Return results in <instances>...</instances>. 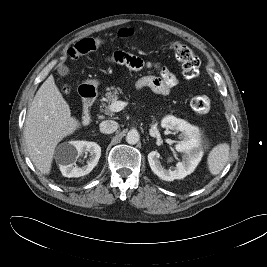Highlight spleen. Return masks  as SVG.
<instances>
[{
	"label": "spleen",
	"instance_id": "1",
	"mask_svg": "<svg viewBox=\"0 0 267 267\" xmlns=\"http://www.w3.org/2000/svg\"><path fill=\"white\" fill-rule=\"evenodd\" d=\"M230 147L227 143H221L213 147L207 157V165L211 174H219L226 165Z\"/></svg>",
	"mask_w": 267,
	"mask_h": 267
}]
</instances>
